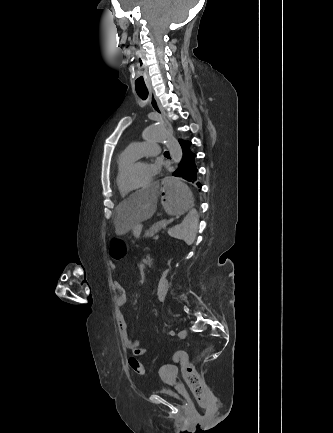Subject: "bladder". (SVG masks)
<instances>
[{"label": "bladder", "mask_w": 333, "mask_h": 433, "mask_svg": "<svg viewBox=\"0 0 333 433\" xmlns=\"http://www.w3.org/2000/svg\"><path fill=\"white\" fill-rule=\"evenodd\" d=\"M156 393H158L161 396L167 397L169 399H179L181 397V395L176 392L175 390L171 389V388H167V387H158L156 388Z\"/></svg>", "instance_id": "31cf9c89"}]
</instances>
